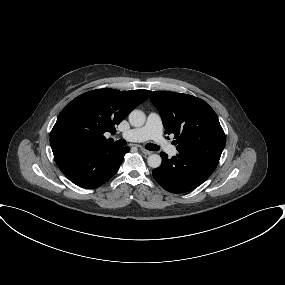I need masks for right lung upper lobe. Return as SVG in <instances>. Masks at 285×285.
Listing matches in <instances>:
<instances>
[{
	"instance_id": "obj_1",
	"label": "right lung upper lobe",
	"mask_w": 285,
	"mask_h": 285,
	"mask_svg": "<svg viewBox=\"0 0 285 285\" xmlns=\"http://www.w3.org/2000/svg\"><path fill=\"white\" fill-rule=\"evenodd\" d=\"M148 90L122 92L97 89L73 99L59 114L50 133L51 147L81 144L88 147L114 146L105 132H116L118 125L149 95Z\"/></svg>"
}]
</instances>
